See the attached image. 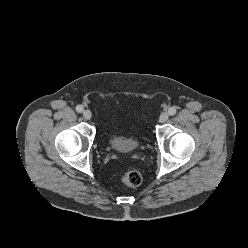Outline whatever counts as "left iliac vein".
<instances>
[{"label": "left iliac vein", "instance_id": "1", "mask_svg": "<svg viewBox=\"0 0 248 248\" xmlns=\"http://www.w3.org/2000/svg\"><path fill=\"white\" fill-rule=\"evenodd\" d=\"M168 118H169L168 113H167V112H163V113L160 115V117H159V121H160L161 123H165V122L168 120Z\"/></svg>", "mask_w": 248, "mask_h": 248}]
</instances>
